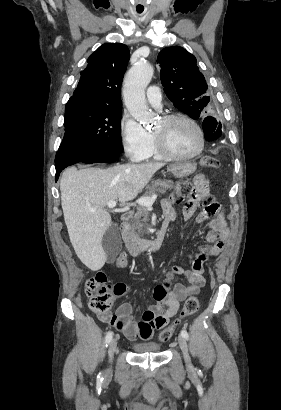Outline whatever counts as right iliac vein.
Listing matches in <instances>:
<instances>
[{"label": "right iliac vein", "instance_id": "1", "mask_svg": "<svg viewBox=\"0 0 281 410\" xmlns=\"http://www.w3.org/2000/svg\"><path fill=\"white\" fill-rule=\"evenodd\" d=\"M116 349H117V341L116 339H113L110 341L109 347H108V355H109L110 361H112ZM108 373H111V368L108 369Z\"/></svg>", "mask_w": 281, "mask_h": 410}]
</instances>
